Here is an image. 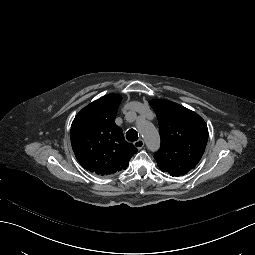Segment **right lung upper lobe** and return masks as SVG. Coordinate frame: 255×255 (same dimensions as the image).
<instances>
[{
    "instance_id": "cb5924a9",
    "label": "right lung upper lobe",
    "mask_w": 255,
    "mask_h": 255,
    "mask_svg": "<svg viewBox=\"0 0 255 255\" xmlns=\"http://www.w3.org/2000/svg\"><path fill=\"white\" fill-rule=\"evenodd\" d=\"M121 100L117 94L103 96L83 108L71 126V144L77 160L86 170L101 176L125 170L137 152L115 124Z\"/></svg>"
}]
</instances>
